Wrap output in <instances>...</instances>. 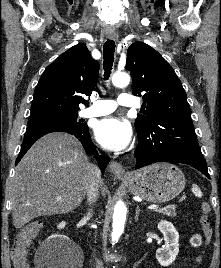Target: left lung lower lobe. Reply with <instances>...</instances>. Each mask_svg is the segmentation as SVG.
<instances>
[{
	"mask_svg": "<svg viewBox=\"0 0 221 268\" xmlns=\"http://www.w3.org/2000/svg\"><path fill=\"white\" fill-rule=\"evenodd\" d=\"M136 169L156 162L188 164L210 178L191 118L159 117L137 133Z\"/></svg>",
	"mask_w": 221,
	"mask_h": 268,
	"instance_id": "1",
	"label": "left lung lower lobe"
}]
</instances>
